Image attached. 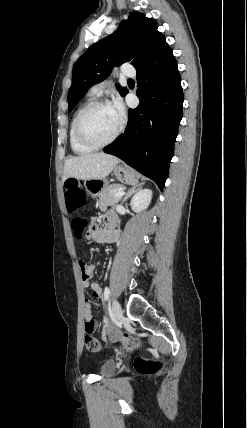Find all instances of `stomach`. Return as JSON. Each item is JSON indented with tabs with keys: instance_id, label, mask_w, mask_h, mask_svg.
Wrapping results in <instances>:
<instances>
[{
	"instance_id": "stomach-1",
	"label": "stomach",
	"mask_w": 247,
	"mask_h": 428,
	"mask_svg": "<svg viewBox=\"0 0 247 428\" xmlns=\"http://www.w3.org/2000/svg\"><path fill=\"white\" fill-rule=\"evenodd\" d=\"M114 176L116 179L124 184H135L138 180L135 173L129 167L124 165H116L113 168ZM108 185L107 180L97 179V180H85L84 186L87 192L92 196L96 197L100 194L103 188Z\"/></svg>"
}]
</instances>
